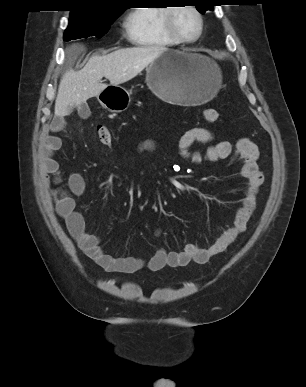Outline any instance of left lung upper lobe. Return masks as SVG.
<instances>
[{
	"label": "left lung upper lobe",
	"instance_id": "left-lung-upper-lobe-1",
	"mask_svg": "<svg viewBox=\"0 0 306 387\" xmlns=\"http://www.w3.org/2000/svg\"><path fill=\"white\" fill-rule=\"evenodd\" d=\"M196 5L197 10L204 14L207 10H213L217 0H192Z\"/></svg>",
	"mask_w": 306,
	"mask_h": 387
}]
</instances>
